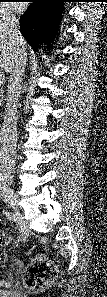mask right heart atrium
<instances>
[{"instance_id": "1", "label": "right heart atrium", "mask_w": 107, "mask_h": 297, "mask_svg": "<svg viewBox=\"0 0 107 297\" xmlns=\"http://www.w3.org/2000/svg\"><path fill=\"white\" fill-rule=\"evenodd\" d=\"M13 18L12 13L5 7L0 8V22L9 21Z\"/></svg>"}]
</instances>
